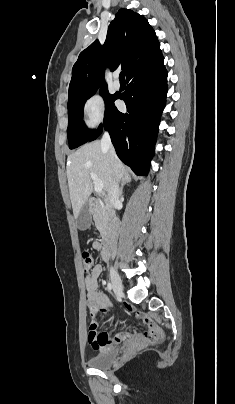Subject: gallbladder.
Returning <instances> with one entry per match:
<instances>
[{
	"instance_id": "bac80fb5",
	"label": "gallbladder",
	"mask_w": 235,
	"mask_h": 404,
	"mask_svg": "<svg viewBox=\"0 0 235 404\" xmlns=\"http://www.w3.org/2000/svg\"><path fill=\"white\" fill-rule=\"evenodd\" d=\"M91 221H92V215L90 213L89 204L86 203L76 219L78 229L80 230L88 229L91 225Z\"/></svg>"
}]
</instances>
